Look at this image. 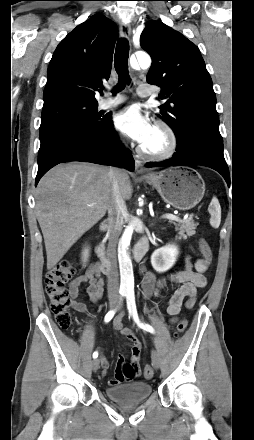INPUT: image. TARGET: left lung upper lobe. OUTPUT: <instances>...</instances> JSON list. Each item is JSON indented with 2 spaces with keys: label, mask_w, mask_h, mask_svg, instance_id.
<instances>
[{
  "label": "left lung upper lobe",
  "mask_w": 254,
  "mask_h": 440,
  "mask_svg": "<svg viewBox=\"0 0 254 440\" xmlns=\"http://www.w3.org/2000/svg\"><path fill=\"white\" fill-rule=\"evenodd\" d=\"M142 48L152 57L147 82L161 87L158 116L183 144L196 127L219 129L216 95L199 48L184 35L162 22L151 21L140 37Z\"/></svg>",
  "instance_id": "left-lung-upper-lobe-1"
}]
</instances>
